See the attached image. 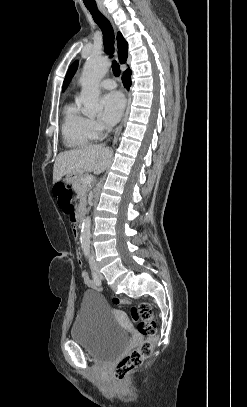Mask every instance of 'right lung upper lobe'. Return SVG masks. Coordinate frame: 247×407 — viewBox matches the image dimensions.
<instances>
[{"label": "right lung upper lobe", "mask_w": 247, "mask_h": 407, "mask_svg": "<svg viewBox=\"0 0 247 407\" xmlns=\"http://www.w3.org/2000/svg\"><path fill=\"white\" fill-rule=\"evenodd\" d=\"M117 46L119 51V61L121 64H123L126 62L128 57V44L120 32H118L117 35Z\"/></svg>", "instance_id": "right-lung-upper-lobe-1"}]
</instances>
